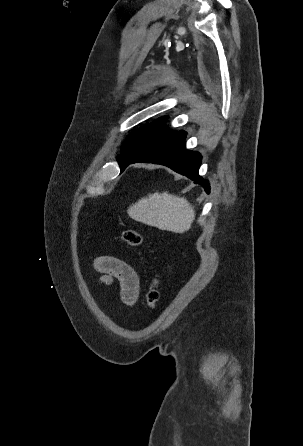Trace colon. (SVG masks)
Returning <instances> with one entry per match:
<instances>
[{
	"mask_svg": "<svg viewBox=\"0 0 303 446\" xmlns=\"http://www.w3.org/2000/svg\"><path fill=\"white\" fill-rule=\"evenodd\" d=\"M122 240L125 244L131 247H138L142 244L143 238L142 236L133 229H126L122 232ZM160 297L159 292V278L158 275L155 274L149 284L146 293V304L149 308L153 309L156 307Z\"/></svg>",
	"mask_w": 303,
	"mask_h": 446,
	"instance_id": "5ec220e1",
	"label": "colon"
}]
</instances>
